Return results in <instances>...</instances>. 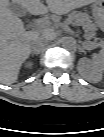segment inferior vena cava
Returning a JSON list of instances; mask_svg holds the SVG:
<instances>
[{
	"mask_svg": "<svg viewBox=\"0 0 104 137\" xmlns=\"http://www.w3.org/2000/svg\"><path fill=\"white\" fill-rule=\"evenodd\" d=\"M32 48L36 52H40L41 50H44L47 46V39L44 36H38L35 38L31 43Z\"/></svg>",
	"mask_w": 104,
	"mask_h": 137,
	"instance_id": "inferior-vena-cava-1",
	"label": "inferior vena cava"
}]
</instances>
